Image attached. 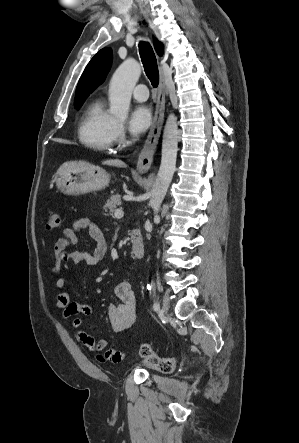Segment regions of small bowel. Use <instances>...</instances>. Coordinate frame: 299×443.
<instances>
[{
	"instance_id": "small-bowel-1",
	"label": "small bowel",
	"mask_w": 299,
	"mask_h": 443,
	"mask_svg": "<svg viewBox=\"0 0 299 443\" xmlns=\"http://www.w3.org/2000/svg\"><path fill=\"white\" fill-rule=\"evenodd\" d=\"M88 228L91 239L95 242L92 251L77 249L69 251L71 246L78 243V232ZM107 242L102 230L89 218H82L73 222L72 226L63 230V236L59 238L53 248L52 271L56 275L55 289L58 291L54 307L61 311L63 320L68 322L76 331L78 340L89 351L95 354L97 361L101 363H120L126 358V353L114 349H106V338L95 339L83 329L84 320L77 315L88 316L93 308L89 304L71 301L70 293L64 291L68 281L67 269L74 264L85 263L88 266L98 264L107 253ZM116 301L108 308V321L115 333L128 329L135 319L136 296L128 281H122L115 287Z\"/></svg>"
}]
</instances>
